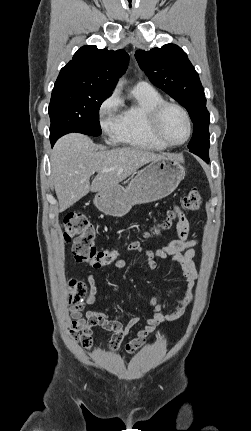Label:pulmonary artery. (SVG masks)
<instances>
[{"mask_svg":"<svg viewBox=\"0 0 251 431\" xmlns=\"http://www.w3.org/2000/svg\"><path fill=\"white\" fill-rule=\"evenodd\" d=\"M135 87H136V88H150V87H151V85H150L148 82H146V81H138V82L135 84Z\"/></svg>","mask_w":251,"mask_h":431,"instance_id":"pulmonary-artery-1","label":"pulmonary artery"}]
</instances>
